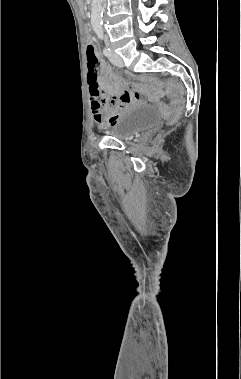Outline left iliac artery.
Instances as JSON below:
<instances>
[{"mask_svg": "<svg viewBox=\"0 0 241 379\" xmlns=\"http://www.w3.org/2000/svg\"><path fill=\"white\" fill-rule=\"evenodd\" d=\"M96 31V34L97 36L99 37L100 40H103L104 39V33H103V29L102 28H96L95 29ZM104 54L109 57L111 55V49L110 47L108 46V43L106 42V47L104 48L103 50Z\"/></svg>", "mask_w": 241, "mask_h": 379, "instance_id": "left-iliac-artery-1", "label": "left iliac artery"}]
</instances>
